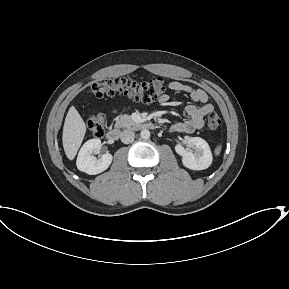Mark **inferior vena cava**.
Masks as SVG:
<instances>
[{
	"instance_id": "1",
	"label": "inferior vena cava",
	"mask_w": 289,
	"mask_h": 289,
	"mask_svg": "<svg viewBox=\"0 0 289 289\" xmlns=\"http://www.w3.org/2000/svg\"><path fill=\"white\" fill-rule=\"evenodd\" d=\"M134 137H135L134 132H133V131H130V130H124V131L121 133V141H122L124 144H129V143L133 142Z\"/></svg>"
}]
</instances>
